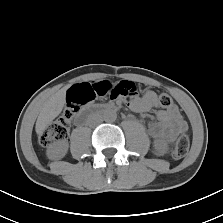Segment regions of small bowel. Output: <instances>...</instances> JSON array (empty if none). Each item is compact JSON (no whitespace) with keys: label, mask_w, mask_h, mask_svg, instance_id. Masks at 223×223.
<instances>
[{"label":"small bowel","mask_w":223,"mask_h":223,"mask_svg":"<svg viewBox=\"0 0 223 223\" xmlns=\"http://www.w3.org/2000/svg\"><path fill=\"white\" fill-rule=\"evenodd\" d=\"M129 107L139 113L156 111L157 121L149 124L148 131L149 135L157 142L155 145L157 156L162 155L165 147L188 129L186 120L176 106L158 108L157 95L151 90L146 91L142 97L132 100Z\"/></svg>","instance_id":"small-bowel-1"}]
</instances>
